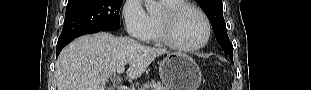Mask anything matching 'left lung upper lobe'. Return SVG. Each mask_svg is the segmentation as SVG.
Wrapping results in <instances>:
<instances>
[{
  "mask_svg": "<svg viewBox=\"0 0 311 90\" xmlns=\"http://www.w3.org/2000/svg\"><path fill=\"white\" fill-rule=\"evenodd\" d=\"M201 8L209 18L216 40L224 50L226 54H229L231 61L233 62V47L228 38L226 31V24L223 18V4L222 0H197Z\"/></svg>",
  "mask_w": 311,
  "mask_h": 90,
  "instance_id": "1",
  "label": "left lung upper lobe"
}]
</instances>
